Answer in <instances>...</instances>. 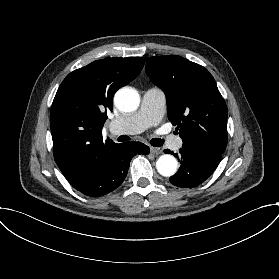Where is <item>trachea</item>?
Segmentation results:
<instances>
[{
  "label": "trachea",
  "instance_id": "trachea-1",
  "mask_svg": "<svg viewBox=\"0 0 279 279\" xmlns=\"http://www.w3.org/2000/svg\"><path fill=\"white\" fill-rule=\"evenodd\" d=\"M128 140H130V137H128V136H126V135H121V136L118 137V141H119V142L128 141ZM163 143H164V140L159 139V138H155V139H152V140L150 141V144H151L152 146H162Z\"/></svg>",
  "mask_w": 279,
  "mask_h": 279
}]
</instances>
